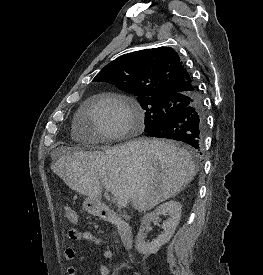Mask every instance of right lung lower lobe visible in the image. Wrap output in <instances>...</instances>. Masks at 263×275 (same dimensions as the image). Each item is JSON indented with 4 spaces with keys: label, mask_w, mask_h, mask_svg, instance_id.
<instances>
[{
    "label": "right lung lower lobe",
    "mask_w": 263,
    "mask_h": 275,
    "mask_svg": "<svg viewBox=\"0 0 263 275\" xmlns=\"http://www.w3.org/2000/svg\"><path fill=\"white\" fill-rule=\"evenodd\" d=\"M206 119L204 106L199 94L193 96V103L162 122L156 128L147 131V136L182 141L200 152L204 147Z\"/></svg>",
    "instance_id": "right-lung-lower-lobe-1"
}]
</instances>
